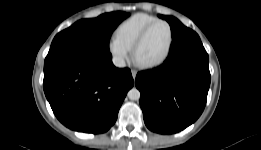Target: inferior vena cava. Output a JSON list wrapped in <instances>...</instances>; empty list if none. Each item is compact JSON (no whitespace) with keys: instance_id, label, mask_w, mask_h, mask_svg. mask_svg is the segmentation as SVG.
<instances>
[{"instance_id":"602c4592","label":"inferior vena cava","mask_w":261,"mask_h":150,"mask_svg":"<svg viewBox=\"0 0 261 150\" xmlns=\"http://www.w3.org/2000/svg\"><path fill=\"white\" fill-rule=\"evenodd\" d=\"M113 64L116 66V67H120V68H123L126 66L125 64V60L122 58V57H113Z\"/></svg>"}]
</instances>
